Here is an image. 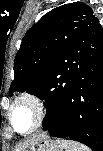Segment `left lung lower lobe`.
Wrapping results in <instances>:
<instances>
[{"label":"left lung lower lobe","mask_w":103,"mask_h":151,"mask_svg":"<svg viewBox=\"0 0 103 151\" xmlns=\"http://www.w3.org/2000/svg\"><path fill=\"white\" fill-rule=\"evenodd\" d=\"M36 95L45 100L44 128L103 151V29L88 27L60 59Z\"/></svg>","instance_id":"0a47b994"}]
</instances>
